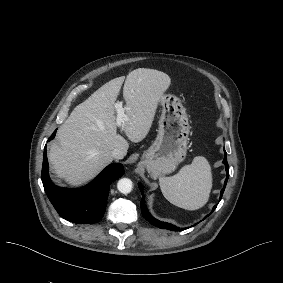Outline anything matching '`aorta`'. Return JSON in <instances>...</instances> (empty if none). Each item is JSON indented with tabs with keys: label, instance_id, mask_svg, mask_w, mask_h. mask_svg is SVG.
Segmentation results:
<instances>
[{
	"label": "aorta",
	"instance_id": "762f6f07",
	"mask_svg": "<svg viewBox=\"0 0 283 283\" xmlns=\"http://www.w3.org/2000/svg\"><path fill=\"white\" fill-rule=\"evenodd\" d=\"M133 187L132 181L128 178H122L117 183V188L122 194H128Z\"/></svg>",
	"mask_w": 283,
	"mask_h": 283
}]
</instances>
